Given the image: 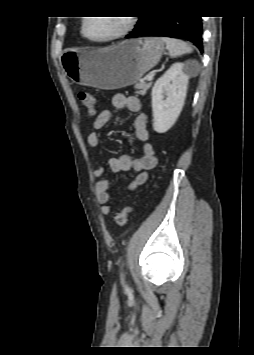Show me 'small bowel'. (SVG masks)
Segmentation results:
<instances>
[{"label":"small bowel","instance_id":"obj_1","mask_svg":"<svg viewBox=\"0 0 254 355\" xmlns=\"http://www.w3.org/2000/svg\"><path fill=\"white\" fill-rule=\"evenodd\" d=\"M112 105L117 109H127L131 112H139L141 102L136 96H125L116 94L112 99ZM111 113L108 110L101 111L94 119L87 141L93 149H99L101 145L100 131L109 123ZM147 115L140 113L133 121V130L136 138L143 143V153L139 157H132L127 154L118 157H111L107 160L110 169L114 172L134 171L136 176L129 183L128 188L133 190L147 183L149 172L153 170L158 162L156 151L149 141L147 129ZM106 168L97 165L94 168V176L97 179L96 195L101 204V213L108 215L111 212L109 182L105 179Z\"/></svg>","mask_w":254,"mask_h":355}]
</instances>
